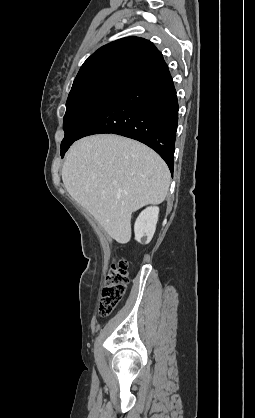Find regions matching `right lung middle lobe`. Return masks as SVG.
<instances>
[{"label":"right lung middle lobe","mask_w":255,"mask_h":418,"mask_svg":"<svg viewBox=\"0 0 255 418\" xmlns=\"http://www.w3.org/2000/svg\"><path fill=\"white\" fill-rule=\"evenodd\" d=\"M126 86L113 82H93L71 89L63 119L65 137L61 152L69 147L96 113Z\"/></svg>","instance_id":"1"}]
</instances>
